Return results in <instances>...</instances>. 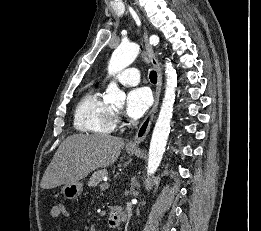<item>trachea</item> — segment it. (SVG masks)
<instances>
[{"instance_id": "3493384b", "label": "trachea", "mask_w": 261, "mask_h": 231, "mask_svg": "<svg viewBox=\"0 0 261 231\" xmlns=\"http://www.w3.org/2000/svg\"><path fill=\"white\" fill-rule=\"evenodd\" d=\"M150 81L154 84L157 82V73L155 71H151L149 75Z\"/></svg>"}]
</instances>
